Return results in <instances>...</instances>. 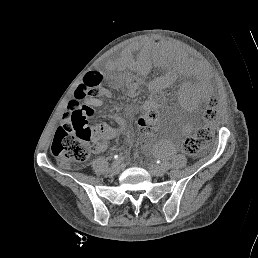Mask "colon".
I'll list each match as a JSON object with an SVG mask.
<instances>
[{
  "label": "colon",
  "mask_w": 258,
  "mask_h": 258,
  "mask_svg": "<svg viewBox=\"0 0 258 258\" xmlns=\"http://www.w3.org/2000/svg\"><path fill=\"white\" fill-rule=\"evenodd\" d=\"M102 81V75L98 72H89L84 77V84L76 91V97L69 103V112L64 118V123L56 131L51 151L59 165L69 168L87 160L92 151V142L99 136L98 127L91 126L86 118V109L78 105L90 92L91 87ZM217 99L212 98L206 111V119L213 117ZM213 141V133L208 127H201L189 136L183 143L184 151L192 156L198 155Z\"/></svg>",
  "instance_id": "1"
}]
</instances>
